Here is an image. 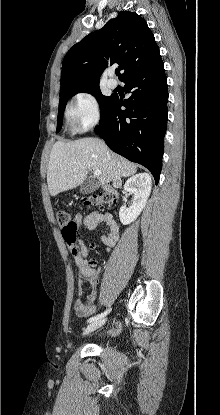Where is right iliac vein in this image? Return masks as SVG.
<instances>
[{
    "label": "right iliac vein",
    "mask_w": 220,
    "mask_h": 415,
    "mask_svg": "<svg viewBox=\"0 0 220 415\" xmlns=\"http://www.w3.org/2000/svg\"><path fill=\"white\" fill-rule=\"evenodd\" d=\"M106 319H100L97 320L95 322H92L91 324H89L83 331V335H87L93 331H95L96 329L100 328L104 323H105Z\"/></svg>",
    "instance_id": "1"
}]
</instances>
